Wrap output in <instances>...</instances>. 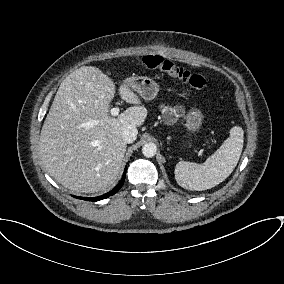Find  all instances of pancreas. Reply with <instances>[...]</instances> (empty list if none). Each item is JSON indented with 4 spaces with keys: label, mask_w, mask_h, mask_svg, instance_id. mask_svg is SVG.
<instances>
[{
    "label": "pancreas",
    "mask_w": 284,
    "mask_h": 284,
    "mask_svg": "<svg viewBox=\"0 0 284 284\" xmlns=\"http://www.w3.org/2000/svg\"><path fill=\"white\" fill-rule=\"evenodd\" d=\"M161 108H163L162 113H163L164 121H165L166 124H173L177 121V117L180 115L181 107L169 108V107L162 105ZM168 113L173 114L175 116V118L167 119Z\"/></svg>",
    "instance_id": "1"
}]
</instances>
